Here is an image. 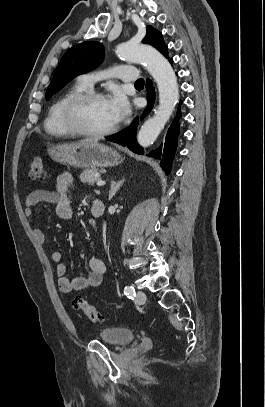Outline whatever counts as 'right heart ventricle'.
Here are the masks:
<instances>
[{
    "label": "right heart ventricle",
    "mask_w": 265,
    "mask_h": 407,
    "mask_svg": "<svg viewBox=\"0 0 265 407\" xmlns=\"http://www.w3.org/2000/svg\"><path fill=\"white\" fill-rule=\"evenodd\" d=\"M86 91V87L79 82L69 87L63 92L50 106L47 117L44 122L45 131L54 137H71L74 136L63 124L62 111L67 101L74 95Z\"/></svg>",
    "instance_id": "obj_1"
}]
</instances>
